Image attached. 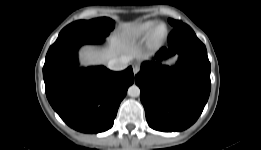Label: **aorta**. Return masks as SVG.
<instances>
[{
    "instance_id": "1",
    "label": "aorta",
    "mask_w": 261,
    "mask_h": 150,
    "mask_svg": "<svg viewBox=\"0 0 261 150\" xmlns=\"http://www.w3.org/2000/svg\"><path fill=\"white\" fill-rule=\"evenodd\" d=\"M127 93L130 97H138L140 96V88L134 84L128 88Z\"/></svg>"
}]
</instances>
